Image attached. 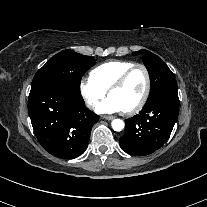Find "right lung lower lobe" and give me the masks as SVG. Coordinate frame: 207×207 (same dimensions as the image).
Segmentation results:
<instances>
[{
	"mask_svg": "<svg viewBox=\"0 0 207 207\" xmlns=\"http://www.w3.org/2000/svg\"><path fill=\"white\" fill-rule=\"evenodd\" d=\"M28 111L37 140L50 154L73 159L86 150L99 116L82 96L56 85L31 88Z\"/></svg>",
	"mask_w": 207,
	"mask_h": 207,
	"instance_id": "98d812e1",
	"label": "right lung lower lobe"
}]
</instances>
